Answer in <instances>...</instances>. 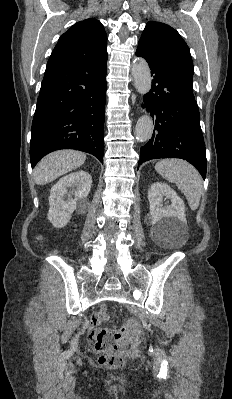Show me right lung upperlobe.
Here are the masks:
<instances>
[{
	"label": "right lung upper lobe",
	"mask_w": 232,
	"mask_h": 399,
	"mask_svg": "<svg viewBox=\"0 0 232 399\" xmlns=\"http://www.w3.org/2000/svg\"><path fill=\"white\" fill-rule=\"evenodd\" d=\"M107 35L96 19L74 24L58 40L48 63H76L107 56Z\"/></svg>",
	"instance_id": "obj_1"
}]
</instances>
